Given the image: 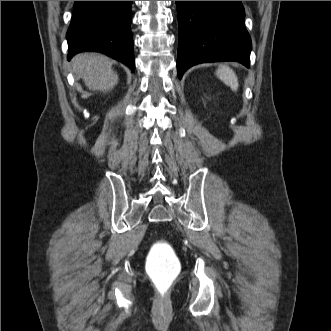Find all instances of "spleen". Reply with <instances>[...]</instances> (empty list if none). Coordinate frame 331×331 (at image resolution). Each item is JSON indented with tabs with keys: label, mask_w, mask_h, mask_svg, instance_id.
Returning <instances> with one entry per match:
<instances>
[{
	"label": "spleen",
	"mask_w": 331,
	"mask_h": 331,
	"mask_svg": "<svg viewBox=\"0 0 331 331\" xmlns=\"http://www.w3.org/2000/svg\"><path fill=\"white\" fill-rule=\"evenodd\" d=\"M216 75L218 78L223 81L227 86L233 91H237L238 89V78L235 72L227 65L219 66L218 70L216 71Z\"/></svg>",
	"instance_id": "1"
}]
</instances>
